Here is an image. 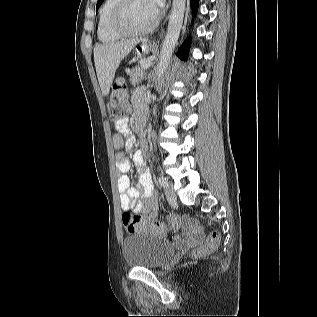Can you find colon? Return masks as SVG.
I'll use <instances>...</instances> for the list:
<instances>
[{"label":"colon","instance_id":"obj_1","mask_svg":"<svg viewBox=\"0 0 317 317\" xmlns=\"http://www.w3.org/2000/svg\"><path fill=\"white\" fill-rule=\"evenodd\" d=\"M108 112L111 120L114 122L126 118L130 112V105L128 103V90L123 79H117L112 87L110 100L108 103ZM122 221L125 229L129 233H136L142 231H151L156 234H166L169 229H177L180 226L192 227L196 223L187 218L177 215H170L168 218V226L159 221H150L145 217L134 215L130 212H125L122 216ZM220 242L218 232H211L207 238L200 242L193 249L194 257L205 256L214 251Z\"/></svg>","mask_w":317,"mask_h":317}]
</instances>
